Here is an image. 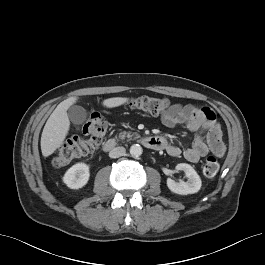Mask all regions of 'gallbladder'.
Wrapping results in <instances>:
<instances>
[{
  "label": "gallbladder",
  "instance_id": "bac80fb5",
  "mask_svg": "<svg viewBox=\"0 0 265 265\" xmlns=\"http://www.w3.org/2000/svg\"><path fill=\"white\" fill-rule=\"evenodd\" d=\"M69 119L73 124L80 125L83 124L87 119V112L81 106H72L68 110Z\"/></svg>",
  "mask_w": 265,
  "mask_h": 265
}]
</instances>
